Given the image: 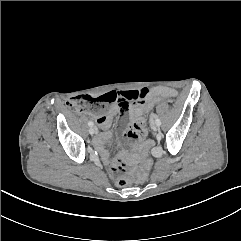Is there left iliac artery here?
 Instances as JSON below:
<instances>
[{
	"label": "left iliac artery",
	"mask_w": 241,
	"mask_h": 241,
	"mask_svg": "<svg viewBox=\"0 0 241 241\" xmlns=\"http://www.w3.org/2000/svg\"><path fill=\"white\" fill-rule=\"evenodd\" d=\"M155 122H156L157 126H160V125H161L160 119L156 118Z\"/></svg>",
	"instance_id": "left-iliac-artery-1"
}]
</instances>
